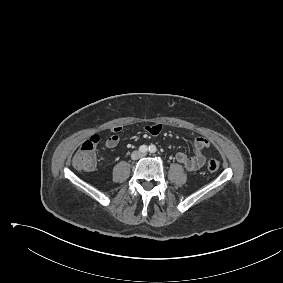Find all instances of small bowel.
Returning a JSON list of instances; mask_svg holds the SVG:
<instances>
[{"label":"small bowel","mask_w":283,"mask_h":283,"mask_svg":"<svg viewBox=\"0 0 283 283\" xmlns=\"http://www.w3.org/2000/svg\"><path fill=\"white\" fill-rule=\"evenodd\" d=\"M161 125L155 124L146 128L147 132L152 135H158L161 132ZM113 134L105 140V147L112 149L116 147L120 141L123 129L115 126L111 129ZM209 147V141L204 137H197L194 142V153L188 155L185 152H177L175 158L178 163L183 165L189 171H195L201 168L206 161L205 150Z\"/></svg>","instance_id":"1"}]
</instances>
